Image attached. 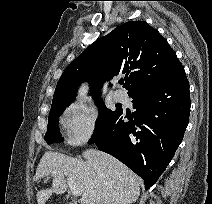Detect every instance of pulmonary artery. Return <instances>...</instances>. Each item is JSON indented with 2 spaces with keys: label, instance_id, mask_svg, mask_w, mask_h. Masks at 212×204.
<instances>
[{
  "label": "pulmonary artery",
  "instance_id": "pulmonary-artery-1",
  "mask_svg": "<svg viewBox=\"0 0 212 204\" xmlns=\"http://www.w3.org/2000/svg\"><path fill=\"white\" fill-rule=\"evenodd\" d=\"M113 97L115 99V101H124L125 98H126V95L123 91L121 90H115L114 93H113Z\"/></svg>",
  "mask_w": 212,
  "mask_h": 204
}]
</instances>
